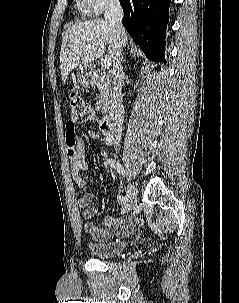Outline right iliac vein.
Returning <instances> with one entry per match:
<instances>
[{
	"instance_id": "63e3f726",
	"label": "right iliac vein",
	"mask_w": 239,
	"mask_h": 303,
	"mask_svg": "<svg viewBox=\"0 0 239 303\" xmlns=\"http://www.w3.org/2000/svg\"><path fill=\"white\" fill-rule=\"evenodd\" d=\"M137 192L133 183L129 182L127 187V196L123 205L122 212L128 213L136 205Z\"/></svg>"
}]
</instances>
